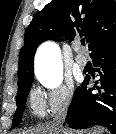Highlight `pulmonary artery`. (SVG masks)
Segmentation results:
<instances>
[{"mask_svg":"<svg viewBox=\"0 0 116 134\" xmlns=\"http://www.w3.org/2000/svg\"><path fill=\"white\" fill-rule=\"evenodd\" d=\"M76 51V62L79 66L84 67L88 63V58L81 53V45L80 43H76L74 47Z\"/></svg>","mask_w":116,"mask_h":134,"instance_id":"obj_1","label":"pulmonary artery"}]
</instances>
